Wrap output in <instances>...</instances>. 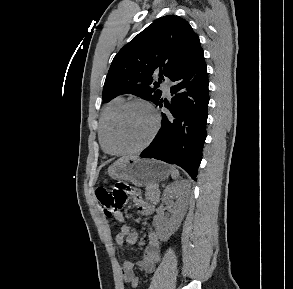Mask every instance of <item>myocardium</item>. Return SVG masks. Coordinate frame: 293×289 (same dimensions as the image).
<instances>
[{
  "instance_id": "myocardium-1",
  "label": "myocardium",
  "mask_w": 293,
  "mask_h": 289,
  "mask_svg": "<svg viewBox=\"0 0 293 289\" xmlns=\"http://www.w3.org/2000/svg\"><path fill=\"white\" fill-rule=\"evenodd\" d=\"M133 105H143L145 107H147L153 116L154 119V125H153V129L149 135V137L147 138V140L141 144L140 146L136 147V148H132V149H125V150H118L115 149L112 146L111 143V133H112V129H113V125L116 121V119L121 115V113L126 110L128 107L133 106ZM160 126H161V118L160 115L158 113V111L156 110V108L149 102L142 100V99H132V100H128L125 101L122 105H120L115 112L112 114L111 118L109 119L107 128H106V132H105V151L113 156H122V155H129V154H134L137 152H140L142 150H144L145 148H147L155 139V137L157 136L159 130H160Z\"/></svg>"
}]
</instances>
